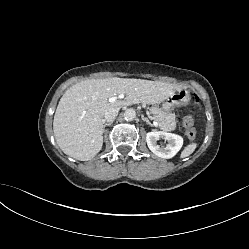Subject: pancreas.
<instances>
[{"label":"pancreas","instance_id":"obj_1","mask_svg":"<svg viewBox=\"0 0 249 249\" xmlns=\"http://www.w3.org/2000/svg\"><path fill=\"white\" fill-rule=\"evenodd\" d=\"M150 113L152 118L157 121L160 129L164 131H174L176 129L177 122L174 113L165 112L158 107H151Z\"/></svg>","mask_w":249,"mask_h":249}]
</instances>
